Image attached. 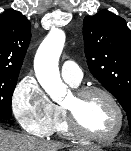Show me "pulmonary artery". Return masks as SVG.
<instances>
[{"label":"pulmonary artery","mask_w":131,"mask_h":151,"mask_svg":"<svg viewBox=\"0 0 131 151\" xmlns=\"http://www.w3.org/2000/svg\"><path fill=\"white\" fill-rule=\"evenodd\" d=\"M61 75L66 82L73 85H79L83 76L80 67L71 60L62 64Z\"/></svg>","instance_id":"pulmonary-artery-1"}]
</instances>
